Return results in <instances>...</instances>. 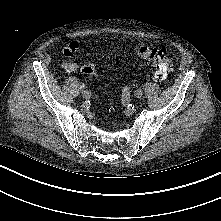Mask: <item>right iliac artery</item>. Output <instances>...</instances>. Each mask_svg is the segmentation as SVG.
<instances>
[{
	"label": "right iliac artery",
	"mask_w": 221,
	"mask_h": 221,
	"mask_svg": "<svg viewBox=\"0 0 221 221\" xmlns=\"http://www.w3.org/2000/svg\"><path fill=\"white\" fill-rule=\"evenodd\" d=\"M91 97V92L89 90H86L85 92V98L89 99Z\"/></svg>",
	"instance_id": "obj_1"
}]
</instances>
